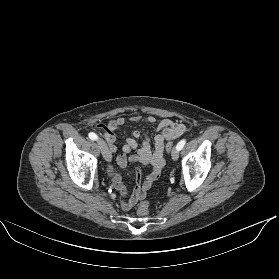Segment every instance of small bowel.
<instances>
[{
	"label": "small bowel",
	"mask_w": 279,
	"mask_h": 279,
	"mask_svg": "<svg viewBox=\"0 0 279 279\" xmlns=\"http://www.w3.org/2000/svg\"><path fill=\"white\" fill-rule=\"evenodd\" d=\"M133 123H149L156 122V118L152 115L143 117L135 115L129 118ZM126 123L124 118H119L117 121L118 126H124ZM157 133L154 136L153 146L148 137H145L142 145L137 149V139L140 137L139 131H134L131 136L126 138L125 144L122 148L123 153L116 156V162L120 167H125L128 162H139L143 165L151 166V172L146 176L143 183H141V171L136 169L137 185L131 197L126 198V187L122 182V178L116 168L112 165L107 167V174L112 180L116 190L122 196L121 207L124 210H130L139 200L146 196L147 191L151 188L153 182L160 176L161 171L165 164L164 158V145L166 141L174 140L187 131V127L177 121L169 118H162L156 125ZM105 138L112 153L117 152L116 136L114 130H106Z\"/></svg>",
	"instance_id": "1"
}]
</instances>
